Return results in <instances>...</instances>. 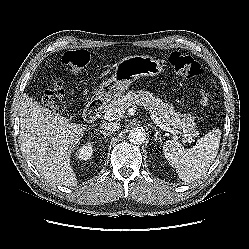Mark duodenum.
Listing matches in <instances>:
<instances>
[{
    "instance_id": "410a0bca",
    "label": "duodenum",
    "mask_w": 249,
    "mask_h": 249,
    "mask_svg": "<svg viewBox=\"0 0 249 249\" xmlns=\"http://www.w3.org/2000/svg\"><path fill=\"white\" fill-rule=\"evenodd\" d=\"M103 104L104 101L99 97L91 99L83 111L84 119L88 121L96 120L102 110Z\"/></svg>"
}]
</instances>
